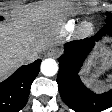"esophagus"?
<instances>
[{
	"mask_svg": "<svg viewBox=\"0 0 112 112\" xmlns=\"http://www.w3.org/2000/svg\"><path fill=\"white\" fill-rule=\"evenodd\" d=\"M58 50L57 49H50L48 52H47V56L48 57H53V58H55V57H57L58 56Z\"/></svg>",
	"mask_w": 112,
	"mask_h": 112,
	"instance_id": "esophagus-1",
	"label": "esophagus"
}]
</instances>
